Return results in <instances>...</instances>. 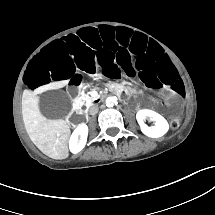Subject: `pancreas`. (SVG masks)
I'll list each match as a JSON object with an SVG mask.
<instances>
[{
    "mask_svg": "<svg viewBox=\"0 0 215 215\" xmlns=\"http://www.w3.org/2000/svg\"><path fill=\"white\" fill-rule=\"evenodd\" d=\"M82 98L85 99V102H87V103H89L90 100L92 99V97L87 96V95H84Z\"/></svg>",
    "mask_w": 215,
    "mask_h": 215,
    "instance_id": "cf45deb5",
    "label": "pancreas"
}]
</instances>
